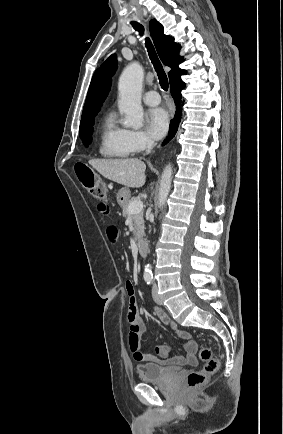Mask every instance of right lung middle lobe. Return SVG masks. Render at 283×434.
<instances>
[{
    "mask_svg": "<svg viewBox=\"0 0 283 434\" xmlns=\"http://www.w3.org/2000/svg\"><path fill=\"white\" fill-rule=\"evenodd\" d=\"M93 125H94V121L80 124L79 135L80 138L82 139L83 144L86 147L88 146V144L91 142L92 139L91 136L93 132V127H92Z\"/></svg>",
    "mask_w": 283,
    "mask_h": 434,
    "instance_id": "1",
    "label": "right lung middle lobe"
}]
</instances>
